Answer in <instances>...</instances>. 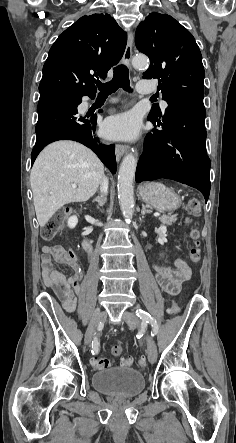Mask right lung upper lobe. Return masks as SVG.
I'll return each instance as SVG.
<instances>
[{
	"label": "right lung upper lobe",
	"instance_id": "1",
	"mask_svg": "<svg viewBox=\"0 0 236 443\" xmlns=\"http://www.w3.org/2000/svg\"><path fill=\"white\" fill-rule=\"evenodd\" d=\"M126 43V33L109 14L81 17L52 45L43 66L40 94H95L94 76H107L121 59Z\"/></svg>",
	"mask_w": 236,
	"mask_h": 443
}]
</instances>
